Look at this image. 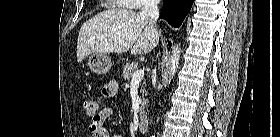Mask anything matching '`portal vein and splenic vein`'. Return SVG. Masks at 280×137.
Masks as SVG:
<instances>
[{"label":"portal vein and splenic vein","instance_id":"1","mask_svg":"<svg viewBox=\"0 0 280 137\" xmlns=\"http://www.w3.org/2000/svg\"><path fill=\"white\" fill-rule=\"evenodd\" d=\"M144 77V71L143 70H137L133 73L131 83L140 82Z\"/></svg>","mask_w":280,"mask_h":137}]
</instances>
